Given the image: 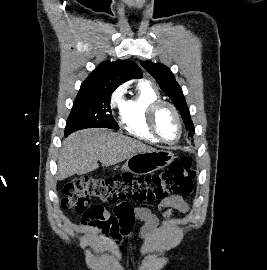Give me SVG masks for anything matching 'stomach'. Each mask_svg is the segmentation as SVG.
<instances>
[{"label":"stomach","mask_w":267,"mask_h":270,"mask_svg":"<svg viewBox=\"0 0 267 270\" xmlns=\"http://www.w3.org/2000/svg\"><path fill=\"white\" fill-rule=\"evenodd\" d=\"M174 159V154L167 150L145 151L128 158L122 169L139 175L152 173L168 166Z\"/></svg>","instance_id":"obj_1"}]
</instances>
